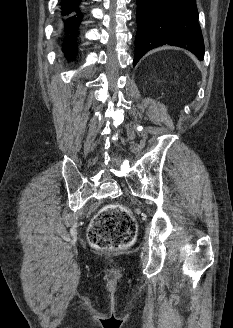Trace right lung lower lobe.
I'll use <instances>...</instances> for the list:
<instances>
[{"label": "right lung lower lobe", "mask_w": 233, "mask_h": 328, "mask_svg": "<svg viewBox=\"0 0 233 328\" xmlns=\"http://www.w3.org/2000/svg\"><path fill=\"white\" fill-rule=\"evenodd\" d=\"M82 0H61L62 15L68 16L63 20L66 37L64 38L63 51L68 59H73L76 54L75 39L78 35V27L81 22L82 13L78 8V4Z\"/></svg>", "instance_id": "right-lung-lower-lobe-1"}]
</instances>
